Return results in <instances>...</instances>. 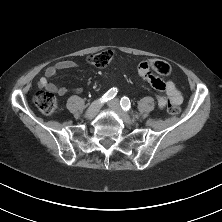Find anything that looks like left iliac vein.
Here are the masks:
<instances>
[{
  "label": "left iliac vein",
  "mask_w": 222,
  "mask_h": 222,
  "mask_svg": "<svg viewBox=\"0 0 222 222\" xmlns=\"http://www.w3.org/2000/svg\"><path fill=\"white\" fill-rule=\"evenodd\" d=\"M107 105L112 108L115 113L119 116V118L128 125H131L134 123V120L130 118L128 114H126L120 107L119 101L118 100H111L107 103Z\"/></svg>",
  "instance_id": "obj_1"
}]
</instances>
